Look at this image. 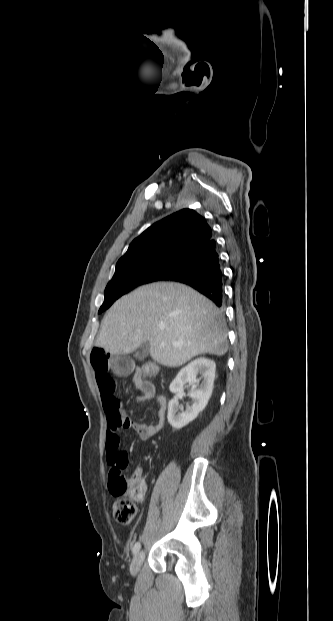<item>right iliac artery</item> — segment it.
<instances>
[{
	"label": "right iliac artery",
	"mask_w": 333,
	"mask_h": 621,
	"mask_svg": "<svg viewBox=\"0 0 333 621\" xmlns=\"http://www.w3.org/2000/svg\"><path fill=\"white\" fill-rule=\"evenodd\" d=\"M140 547H141L140 542H136V543L134 544L133 549H132V551H133V554H134V555H136V554L138 553V551H139Z\"/></svg>",
	"instance_id": "right-iliac-artery-1"
}]
</instances>
